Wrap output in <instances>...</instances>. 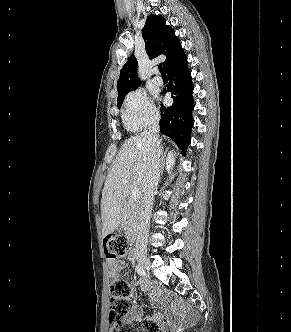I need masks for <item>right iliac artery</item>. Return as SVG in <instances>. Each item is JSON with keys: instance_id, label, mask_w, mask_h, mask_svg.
<instances>
[{"instance_id": "obj_1", "label": "right iliac artery", "mask_w": 291, "mask_h": 332, "mask_svg": "<svg viewBox=\"0 0 291 332\" xmlns=\"http://www.w3.org/2000/svg\"><path fill=\"white\" fill-rule=\"evenodd\" d=\"M136 271L141 276L145 275V271H144L143 267L140 265H136Z\"/></svg>"}]
</instances>
